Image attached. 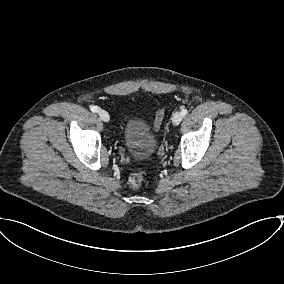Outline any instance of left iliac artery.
I'll list each match as a JSON object with an SVG mask.
<instances>
[{
  "label": "left iliac artery",
  "mask_w": 284,
  "mask_h": 284,
  "mask_svg": "<svg viewBox=\"0 0 284 284\" xmlns=\"http://www.w3.org/2000/svg\"><path fill=\"white\" fill-rule=\"evenodd\" d=\"M187 113H188L187 109H183V110L181 111V114H182L183 116H185Z\"/></svg>",
  "instance_id": "44dca946"
}]
</instances>
